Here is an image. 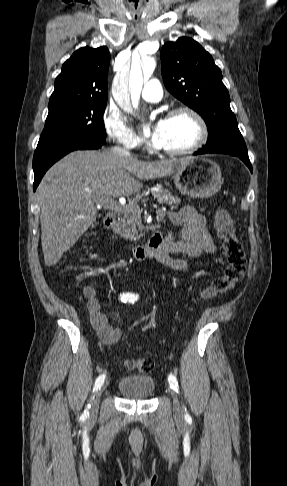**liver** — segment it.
<instances>
[{"label":"liver","mask_w":287,"mask_h":486,"mask_svg":"<svg viewBox=\"0 0 287 486\" xmlns=\"http://www.w3.org/2000/svg\"><path fill=\"white\" fill-rule=\"evenodd\" d=\"M190 159L146 162L112 150L66 155L46 172L37 188L45 265H55L96 221L97 199L130 196L141 190V180L173 174Z\"/></svg>","instance_id":"obj_1"}]
</instances>
